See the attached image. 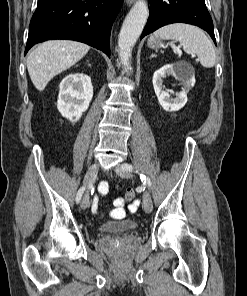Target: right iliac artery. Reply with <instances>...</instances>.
Instances as JSON below:
<instances>
[{"label": "right iliac artery", "mask_w": 247, "mask_h": 296, "mask_svg": "<svg viewBox=\"0 0 247 296\" xmlns=\"http://www.w3.org/2000/svg\"><path fill=\"white\" fill-rule=\"evenodd\" d=\"M85 186H82L79 190H78V193L76 195V203H79L80 200H81V197H82V194L84 193L85 191Z\"/></svg>", "instance_id": "obj_1"}]
</instances>
